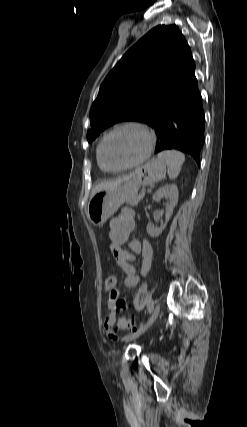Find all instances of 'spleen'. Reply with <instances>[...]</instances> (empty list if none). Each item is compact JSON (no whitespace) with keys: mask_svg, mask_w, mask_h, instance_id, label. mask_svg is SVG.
Segmentation results:
<instances>
[{"mask_svg":"<svg viewBox=\"0 0 247 427\" xmlns=\"http://www.w3.org/2000/svg\"><path fill=\"white\" fill-rule=\"evenodd\" d=\"M157 159L167 164L169 178L175 179L181 171L185 155L177 150H165L157 155Z\"/></svg>","mask_w":247,"mask_h":427,"instance_id":"1","label":"spleen"}]
</instances>
